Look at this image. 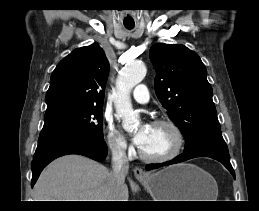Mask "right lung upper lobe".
<instances>
[{
  "label": "right lung upper lobe",
  "mask_w": 259,
  "mask_h": 211,
  "mask_svg": "<svg viewBox=\"0 0 259 211\" xmlns=\"http://www.w3.org/2000/svg\"><path fill=\"white\" fill-rule=\"evenodd\" d=\"M108 73V60L98 44L73 50L51 75L44 123L102 106Z\"/></svg>",
  "instance_id": "cb5924a9"
}]
</instances>
